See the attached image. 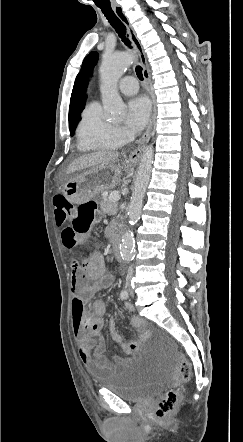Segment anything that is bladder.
I'll return each instance as SVG.
<instances>
[{
  "label": "bladder",
  "mask_w": 243,
  "mask_h": 442,
  "mask_svg": "<svg viewBox=\"0 0 243 442\" xmlns=\"http://www.w3.org/2000/svg\"><path fill=\"white\" fill-rule=\"evenodd\" d=\"M175 368L169 360L133 358L96 383L123 400L139 402L158 394L174 378Z\"/></svg>",
  "instance_id": "31cf9c89"
}]
</instances>
